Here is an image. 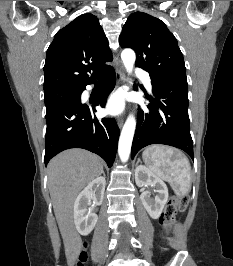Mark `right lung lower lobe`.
Segmentation results:
<instances>
[{"instance_id":"right-lung-lower-lobe-1","label":"right lung lower lobe","mask_w":233,"mask_h":266,"mask_svg":"<svg viewBox=\"0 0 233 266\" xmlns=\"http://www.w3.org/2000/svg\"><path fill=\"white\" fill-rule=\"evenodd\" d=\"M99 76L103 82L92 105L81 102L83 87L78 97L46 110L45 165L63 150L83 148L101 156L108 167L112 166L120 130L114 118L97 119L92 113L96 111L95 105L105 106L115 86L116 75L113 67L109 66Z\"/></svg>"}]
</instances>
